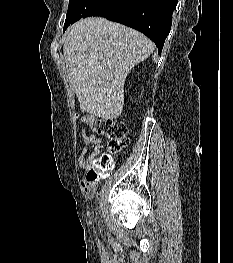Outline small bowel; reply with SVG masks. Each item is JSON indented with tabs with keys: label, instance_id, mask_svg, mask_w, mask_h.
<instances>
[{
	"label": "small bowel",
	"instance_id": "small-bowel-1",
	"mask_svg": "<svg viewBox=\"0 0 233 263\" xmlns=\"http://www.w3.org/2000/svg\"><path fill=\"white\" fill-rule=\"evenodd\" d=\"M83 139V146L79 154V165L86 171H89L95 157L104 149L101 138L96 137L94 134L81 132ZM82 186L88 196H93L96 192L97 183L91 184L86 178L82 179Z\"/></svg>",
	"mask_w": 233,
	"mask_h": 263
}]
</instances>
